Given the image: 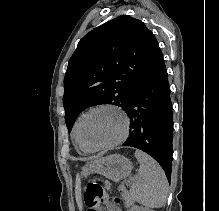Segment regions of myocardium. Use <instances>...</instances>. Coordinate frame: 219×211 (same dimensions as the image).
<instances>
[{"instance_id": "myocardium-1", "label": "myocardium", "mask_w": 219, "mask_h": 211, "mask_svg": "<svg viewBox=\"0 0 219 211\" xmlns=\"http://www.w3.org/2000/svg\"><path fill=\"white\" fill-rule=\"evenodd\" d=\"M112 109V110H115L116 112H118L122 118H123V130H122V133L121 135L109 142V143H106V144H103V145H99V146H88L85 141L83 140V137H82V128H83V124H84V121L86 120V118L88 117L89 114H91L92 112L96 111V110H99V109ZM129 127H130V118H129V115L127 114V112L121 108L120 106L118 105H115V104H111V103H102V104H98V105H95L93 106L92 108L88 109L82 116H81V119L79 121V125H78V138H79V142L80 144L90 150V151H99V150H105V149H109V148H112L118 144H120L121 142H123L127 135H128V131H129Z\"/></svg>"}]
</instances>
